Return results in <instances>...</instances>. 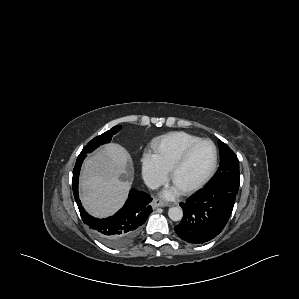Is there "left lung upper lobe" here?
<instances>
[{"label": "left lung upper lobe", "instance_id": "5c2ea615", "mask_svg": "<svg viewBox=\"0 0 299 299\" xmlns=\"http://www.w3.org/2000/svg\"><path fill=\"white\" fill-rule=\"evenodd\" d=\"M218 144L220 147V166L207 186L229 185L238 189L240 178L239 160L228 145L221 140H219Z\"/></svg>", "mask_w": 299, "mask_h": 299}]
</instances>
